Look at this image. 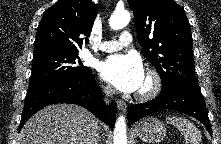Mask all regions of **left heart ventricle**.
I'll return each mask as SVG.
<instances>
[{
	"label": "left heart ventricle",
	"mask_w": 221,
	"mask_h": 144,
	"mask_svg": "<svg viewBox=\"0 0 221 144\" xmlns=\"http://www.w3.org/2000/svg\"><path fill=\"white\" fill-rule=\"evenodd\" d=\"M146 87H147V80H146V77H145L144 82H143V84H142L140 90H143V89H145ZM140 90H139V91H140Z\"/></svg>",
	"instance_id": "obj_1"
}]
</instances>
